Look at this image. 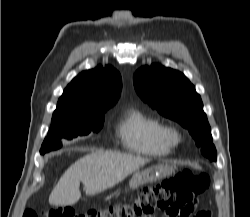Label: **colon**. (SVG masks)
<instances>
[{
    "label": "colon",
    "mask_w": 250,
    "mask_h": 217,
    "mask_svg": "<svg viewBox=\"0 0 250 217\" xmlns=\"http://www.w3.org/2000/svg\"><path fill=\"white\" fill-rule=\"evenodd\" d=\"M209 181L206 173L184 170L159 184L141 188L130 204L118 203L80 214L68 208H53L42 214L25 210L23 217H185L196 207ZM195 217H211V213L201 210Z\"/></svg>",
    "instance_id": "colon-1"
}]
</instances>
